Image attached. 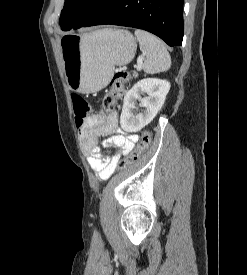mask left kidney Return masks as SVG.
Returning <instances> with one entry per match:
<instances>
[{
  "instance_id": "5707ae66",
  "label": "left kidney",
  "mask_w": 247,
  "mask_h": 275,
  "mask_svg": "<svg viewBox=\"0 0 247 275\" xmlns=\"http://www.w3.org/2000/svg\"><path fill=\"white\" fill-rule=\"evenodd\" d=\"M170 83L158 78H145L138 81L125 95L120 116L121 128L126 132H137L148 125L162 108ZM146 93L148 97H141ZM137 100L145 108L137 114Z\"/></svg>"
}]
</instances>
